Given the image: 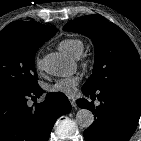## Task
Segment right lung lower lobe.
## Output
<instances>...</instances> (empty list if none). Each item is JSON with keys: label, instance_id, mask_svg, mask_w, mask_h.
I'll list each match as a JSON object with an SVG mask.
<instances>
[{"label": "right lung lower lobe", "instance_id": "98d812e1", "mask_svg": "<svg viewBox=\"0 0 141 141\" xmlns=\"http://www.w3.org/2000/svg\"><path fill=\"white\" fill-rule=\"evenodd\" d=\"M43 90L0 89V141H48L56 119L71 110L67 97L49 93L43 103L29 107V97H39Z\"/></svg>", "mask_w": 141, "mask_h": 141}]
</instances>
